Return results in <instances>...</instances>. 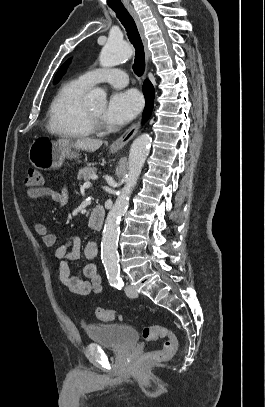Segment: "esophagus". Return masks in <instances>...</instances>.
Segmentation results:
<instances>
[{
    "label": "esophagus",
    "instance_id": "34e87169",
    "mask_svg": "<svg viewBox=\"0 0 265 407\" xmlns=\"http://www.w3.org/2000/svg\"><path fill=\"white\" fill-rule=\"evenodd\" d=\"M130 15L133 17L136 26L138 28L140 37L143 42L144 46V51H145V58H146V68H145V75H147V72L149 70V64H150V50L148 48V41L144 33V28L143 25L138 17L137 12L132 6H127L126 7ZM141 126V119L137 120L135 123H133L116 141H114L111 144V150L117 151L122 149L129 141L133 139V137L136 135L138 132L139 128Z\"/></svg>",
    "mask_w": 265,
    "mask_h": 407
}]
</instances>
